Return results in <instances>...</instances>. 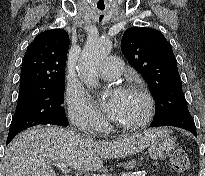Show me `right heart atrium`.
<instances>
[{
	"mask_svg": "<svg viewBox=\"0 0 205 176\" xmlns=\"http://www.w3.org/2000/svg\"><path fill=\"white\" fill-rule=\"evenodd\" d=\"M66 103L70 120L75 126L91 130L103 122V117L81 91L69 90Z\"/></svg>",
	"mask_w": 205,
	"mask_h": 176,
	"instance_id": "d8ad5b80",
	"label": "right heart atrium"
}]
</instances>
